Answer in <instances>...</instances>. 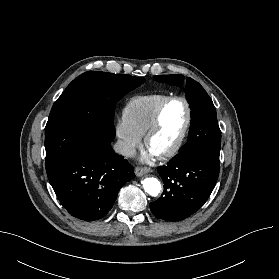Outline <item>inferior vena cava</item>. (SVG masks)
<instances>
[{
	"instance_id": "obj_1",
	"label": "inferior vena cava",
	"mask_w": 279,
	"mask_h": 279,
	"mask_svg": "<svg viewBox=\"0 0 279 279\" xmlns=\"http://www.w3.org/2000/svg\"><path fill=\"white\" fill-rule=\"evenodd\" d=\"M113 147L118 154L126 157H132L136 153L135 149L131 145L122 140H118Z\"/></svg>"
}]
</instances>
